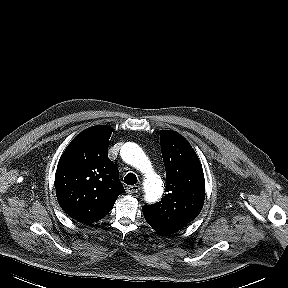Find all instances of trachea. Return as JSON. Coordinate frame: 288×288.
<instances>
[{
  "instance_id": "obj_1",
  "label": "trachea",
  "mask_w": 288,
  "mask_h": 288,
  "mask_svg": "<svg viewBox=\"0 0 288 288\" xmlns=\"http://www.w3.org/2000/svg\"><path fill=\"white\" fill-rule=\"evenodd\" d=\"M124 182L127 185H134L137 183V177L134 173H128L125 177H124Z\"/></svg>"
}]
</instances>
